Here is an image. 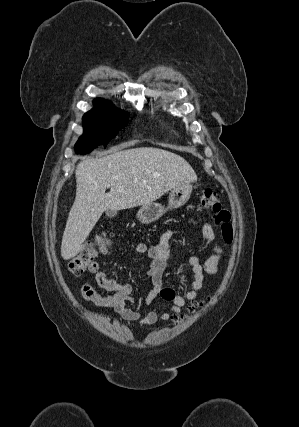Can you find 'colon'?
Instances as JSON below:
<instances>
[{"label":"colon","mask_w":299,"mask_h":427,"mask_svg":"<svg viewBox=\"0 0 299 427\" xmlns=\"http://www.w3.org/2000/svg\"><path fill=\"white\" fill-rule=\"evenodd\" d=\"M199 207L213 214L223 241L231 244L233 241L231 213L222 205L220 195L211 189L202 191L199 198ZM108 245L109 242L105 234L97 235L82 251L69 260V272L73 276H81L90 268L96 257L107 251Z\"/></svg>","instance_id":"obj_1"}]
</instances>
